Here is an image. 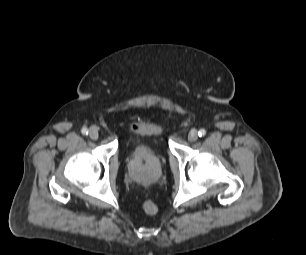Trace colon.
Instances as JSON below:
<instances>
[{
	"mask_svg": "<svg viewBox=\"0 0 306 255\" xmlns=\"http://www.w3.org/2000/svg\"><path fill=\"white\" fill-rule=\"evenodd\" d=\"M142 207H143L144 212L149 214V215H153V214H155L157 212V206L151 200H145L143 202Z\"/></svg>",
	"mask_w": 306,
	"mask_h": 255,
	"instance_id": "5ec220e1",
	"label": "colon"
}]
</instances>
